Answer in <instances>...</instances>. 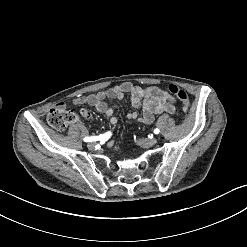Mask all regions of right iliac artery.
I'll use <instances>...</instances> for the list:
<instances>
[{"label": "right iliac artery", "instance_id": "1", "mask_svg": "<svg viewBox=\"0 0 247 247\" xmlns=\"http://www.w3.org/2000/svg\"><path fill=\"white\" fill-rule=\"evenodd\" d=\"M111 136V132H106L105 134H100L99 136H91L85 137L84 142H92V141H102L105 142Z\"/></svg>", "mask_w": 247, "mask_h": 247}]
</instances>
